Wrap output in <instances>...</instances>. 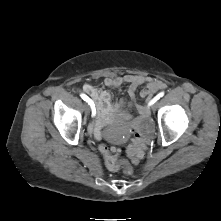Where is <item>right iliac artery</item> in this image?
<instances>
[{
	"label": "right iliac artery",
	"mask_w": 221,
	"mask_h": 221,
	"mask_svg": "<svg viewBox=\"0 0 221 221\" xmlns=\"http://www.w3.org/2000/svg\"><path fill=\"white\" fill-rule=\"evenodd\" d=\"M81 98L84 100V101H86V102H88V104L91 106V108H92V115L93 116H95V108H94V104H93V102H92V100L87 96V95H85V94H81Z\"/></svg>",
	"instance_id": "right-iliac-artery-1"
}]
</instances>
